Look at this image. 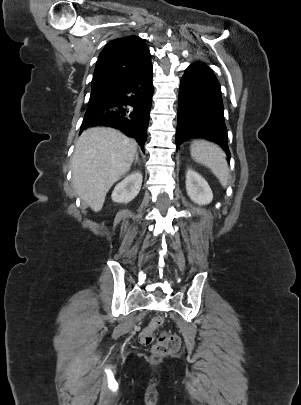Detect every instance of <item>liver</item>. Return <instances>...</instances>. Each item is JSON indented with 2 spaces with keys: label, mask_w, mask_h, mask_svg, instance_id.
Instances as JSON below:
<instances>
[{
  "label": "liver",
  "mask_w": 301,
  "mask_h": 405,
  "mask_svg": "<svg viewBox=\"0 0 301 405\" xmlns=\"http://www.w3.org/2000/svg\"><path fill=\"white\" fill-rule=\"evenodd\" d=\"M137 143L118 130L94 127L84 131L72 157V182L78 196L99 212L106 194L129 170Z\"/></svg>",
  "instance_id": "6515ba94"
}]
</instances>
